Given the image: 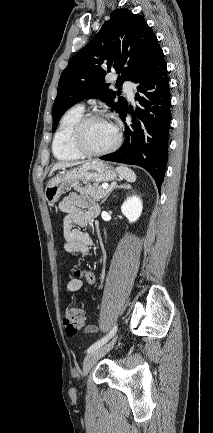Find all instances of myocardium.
Segmentation results:
<instances>
[{
    "mask_svg": "<svg viewBox=\"0 0 213 433\" xmlns=\"http://www.w3.org/2000/svg\"><path fill=\"white\" fill-rule=\"evenodd\" d=\"M93 120H105L110 122L113 127L116 130V140L115 142L107 149L102 151H93L87 148V146L84 143V131L87 126V124L90 121ZM122 142V132L119 129V127L111 122L104 114L99 112H89L86 114H83L81 118L78 120V122L75 124L73 131H72V145L74 149L80 153L82 156L87 157H100L107 154H110L114 151H116Z\"/></svg>",
    "mask_w": 213,
    "mask_h": 433,
    "instance_id": "1",
    "label": "myocardium"
}]
</instances>
